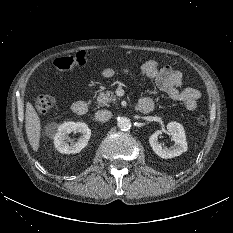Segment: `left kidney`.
Masks as SVG:
<instances>
[{
    "label": "left kidney",
    "instance_id": "obj_1",
    "mask_svg": "<svg viewBox=\"0 0 233 233\" xmlns=\"http://www.w3.org/2000/svg\"><path fill=\"white\" fill-rule=\"evenodd\" d=\"M167 130L175 142L170 148H164L159 143L158 137L162 134L161 130H157L149 138V143L153 151L164 159L180 156L183 152L187 151L186 135L183 126L177 122H170L167 124Z\"/></svg>",
    "mask_w": 233,
    "mask_h": 233
}]
</instances>
